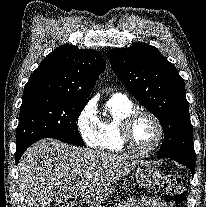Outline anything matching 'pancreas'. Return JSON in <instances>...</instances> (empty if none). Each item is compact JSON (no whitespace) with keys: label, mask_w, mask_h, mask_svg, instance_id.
Here are the masks:
<instances>
[{"label":"pancreas","mask_w":206,"mask_h":207,"mask_svg":"<svg viewBox=\"0 0 206 207\" xmlns=\"http://www.w3.org/2000/svg\"><path fill=\"white\" fill-rule=\"evenodd\" d=\"M135 205V200H127L121 203L116 204L115 207H133Z\"/></svg>","instance_id":"pancreas-1"}]
</instances>
